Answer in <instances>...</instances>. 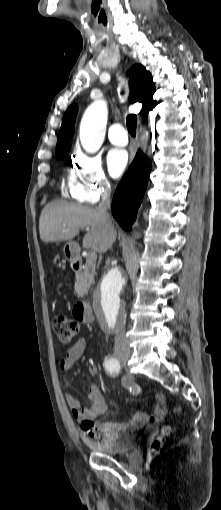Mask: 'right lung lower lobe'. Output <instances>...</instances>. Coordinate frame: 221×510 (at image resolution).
Here are the masks:
<instances>
[{
    "mask_svg": "<svg viewBox=\"0 0 221 510\" xmlns=\"http://www.w3.org/2000/svg\"><path fill=\"white\" fill-rule=\"evenodd\" d=\"M151 168L150 160L138 150L129 171L124 174L115 191L111 210L114 218L125 230H130L136 219Z\"/></svg>",
    "mask_w": 221,
    "mask_h": 510,
    "instance_id": "98d812e1",
    "label": "right lung lower lobe"
}]
</instances>
